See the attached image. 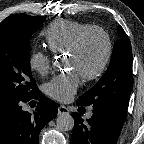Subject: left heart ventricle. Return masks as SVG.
<instances>
[{
	"instance_id": "1",
	"label": "left heart ventricle",
	"mask_w": 144,
	"mask_h": 144,
	"mask_svg": "<svg viewBox=\"0 0 144 144\" xmlns=\"http://www.w3.org/2000/svg\"><path fill=\"white\" fill-rule=\"evenodd\" d=\"M105 53V43L99 34H91L77 55H68L67 66L80 75L92 72L101 63Z\"/></svg>"
}]
</instances>
